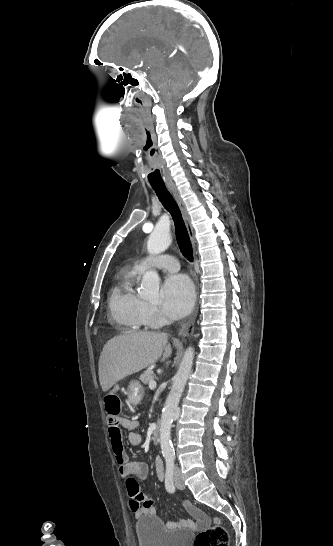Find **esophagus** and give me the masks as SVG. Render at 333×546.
Returning <instances> with one entry per match:
<instances>
[{"instance_id":"1","label":"esophagus","mask_w":333,"mask_h":546,"mask_svg":"<svg viewBox=\"0 0 333 546\" xmlns=\"http://www.w3.org/2000/svg\"><path fill=\"white\" fill-rule=\"evenodd\" d=\"M167 187H168L170 193L173 195L175 201L177 202V204H178V206H179V208L181 210L183 219L185 221L189 236L194 241V229H193V226L191 224L190 217H189L187 208L185 206V203H184L183 199L181 198V196H180V194H179V192H178V190H177V188H176V186L174 184H168ZM197 311H198V306L195 307V310L193 312V315H192L193 319L196 317Z\"/></svg>"}]
</instances>
